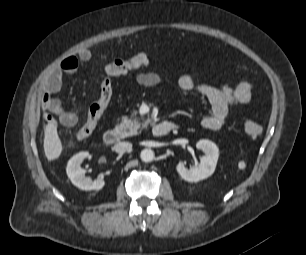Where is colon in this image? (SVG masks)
Listing matches in <instances>:
<instances>
[{"instance_id":"colon-1","label":"colon","mask_w":306,"mask_h":255,"mask_svg":"<svg viewBox=\"0 0 306 255\" xmlns=\"http://www.w3.org/2000/svg\"><path fill=\"white\" fill-rule=\"evenodd\" d=\"M149 57L145 52H138L126 59H113L108 62L104 68L105 77L100 83L98 99L90 106L85 124L78 130L77 138L86 139L96 129L99 120L107 109L112 98V83L110 78L127 74L147 66ZM244 131L251 137L255 138L261 135L263 128L260 124L251 119L243 121Z\"/></svg>"}]
</instances>
